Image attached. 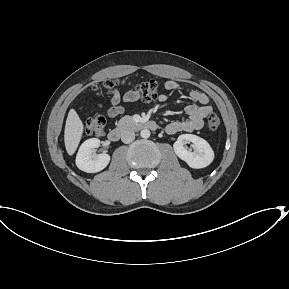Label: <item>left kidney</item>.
<instances>
[{
	"label": "left kidney",
	"instance_id": "obj_1",
	"mask_svg": "<svg viewBox=\"0 0 289 289\" xmlns=\"http://www.w3.org/2000/svg\"><path fill=\"white\" fill-rule=\"evenodd\" d=\"M191 142L193 151L188 150L185 144ZM176 155L184 160L191 168H205L214 159V152L209 143L193 134H182L173 145Z\"/></svg>",
	"mask_w": 289,
	"mask_h": 289
}]
</instances>
